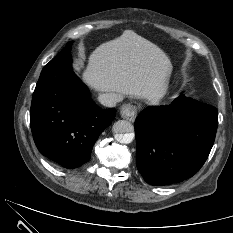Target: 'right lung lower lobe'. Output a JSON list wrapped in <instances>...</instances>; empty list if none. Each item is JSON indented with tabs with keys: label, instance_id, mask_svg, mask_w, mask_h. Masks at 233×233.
I'll use <instances>...</instances> for the list:
<instances>
[{
	"label": "right lung lower lobe",
	"instance_id": "98d812e1",
	"mask_svg": "<svg viewBox=\"0 0 233 233\" xmlns=\"http://www.w3.org/2000/svg\"><path fill=\"white\" fill-rule=\"evenodd\" d=\"M71 49H63L42 70L33 93L30 126L39 151L68 169L90 160L94 143L116 110L91 100L72 70Z\"/></svg>",
	"mask_w": 233,
	"mask_h": 233
}]
</instances>
